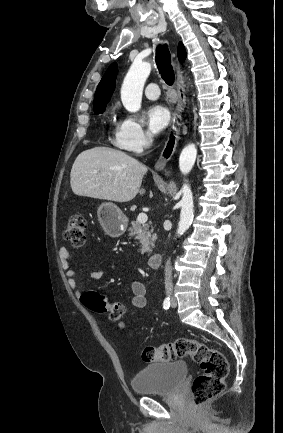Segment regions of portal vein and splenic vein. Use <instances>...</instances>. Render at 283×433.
Here are the masks:
<instances>
[{"label":"portal vein and splenic vein","mask_w":283,"mask_h":433,"mask_svg":"<svg viewBox=\"0 0 283 433\" xmlns=\"http://www.w3.org/2000/svg\"><path fill=\"white\" fill-rule=\"evenodd\" d=\"M94 172H98V170H94ZM137 221L138 223H146V221H148L147 214H145V212H139Z\"/></svg>","instance_id":"18ae733b"}]
</instances>
